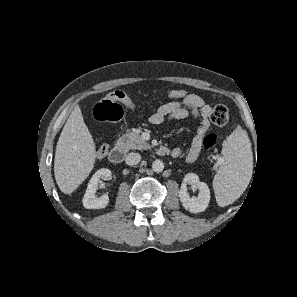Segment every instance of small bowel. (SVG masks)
<instances>
[{
    "label": "small bowel",
    "mask_w": 297,
    "mask_h": 297,
    "mask_svg": "<svg viewBox=\"0 0 297 297\" xmlns=\"http://www.w3.org/2000/svg\"><path fill=\"white\" fill-rule=\"evenodd\" d=\"M126 106L130 109H134L133 104H127ZM211 110V106L201 96L188 94L183 99L174 100L161 105L156 112L150 116L149 121L151 124L159 125L166 119L180 120L189 116L197 118L200 126L186 154V161L192 163L196 161L204 145V139L210 128L209 117ZM170 154L177 158L182 154V150L179 147H175L171 150Z\"/></svg>",
    "instance_id": "small-bowel-1"
}]
</instances>
